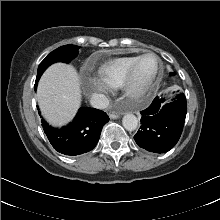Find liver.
Instances as JSON below:
<instances>
[{"label": "liver", "instance_id": "liver-1", "mask_svg": "<svg viewBox=\"0 0 220 220\" xmlns=\"http://www.w3.org/2000/svg\"><path fill=\"white\" fill-rule=\"evenodd\" d=\"M42 114L54 126L68 123L81 104L77 71L71 65L55 63L42 75L37 89Z\"/></svg>", "mask_w": 220, "mask_h": 220}]
</instances>
